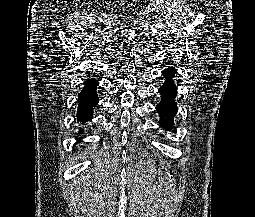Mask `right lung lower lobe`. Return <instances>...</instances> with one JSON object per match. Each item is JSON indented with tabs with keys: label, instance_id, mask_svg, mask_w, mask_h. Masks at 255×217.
Segmentation results:
<instances>
[{
	"label": "right lung lower lobe",
	"instance_id": "98d812e1",
	"mask_svg": "<svg viewBox=\"0 0 255 217\" xmlns=\"http://www.w3.org/2000/svg\"><path fill=\"white\" fill-rule=\"evenodd\" d=\"M98 81L93 78L86 79L83 90L78 95V121L84 123L88 122L92 118L93 107L98 103V96L96 93V87ZM83 132L80 129L79 133Z\"/></svg>",
	"mask_w": 255,
	"mask_h": 217
}]
</instances>
